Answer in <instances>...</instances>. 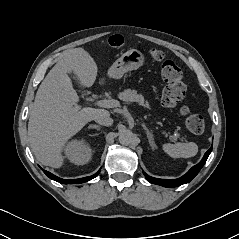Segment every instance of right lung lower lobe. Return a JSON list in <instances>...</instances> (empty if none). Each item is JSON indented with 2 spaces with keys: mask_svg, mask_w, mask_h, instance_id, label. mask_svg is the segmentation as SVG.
<instances>
[{
  "mask_svg": "<svg viewBox=\"0 0 239 239\" xmlns=\"http://www.w3.org/2000/svg\"><path fill=\"white\" fill-rule=\"evenodd\" d=\"M42 170H43V169H42ZM43 172H44L49 178H51L52 180H55V181H57V182H59V183H63V184H74V183L80 184V183L87 182V181H89V180L95 178L96 176H98L100 170H99L96 174H94V175H92V176H88V177H84V178H79V179H62V178H59V177L53 175L52 173H50V172H48V171H46V170H43Z\"/></svg>",
  "mask_w": 239,
  "mask_h": 239,
  "instance_id": "obj_1",
  "label": "right lung lower lobe"
}]
</instances>
